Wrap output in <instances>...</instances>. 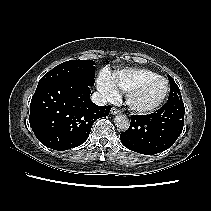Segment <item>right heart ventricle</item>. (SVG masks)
Wrapping results in <instances>:
<instances>
[{
  "instance_id": "obj_1",
  "label": "right heart ventricle",
  "mask_w": 211,
  "mask_h": 211,
  "mask_svg": "<svg viewBox=\"0 0 211 211\" xmlns=\"http://www.w3.org/2000/svg\"><path fill=\"white\" fill-rule=\"evenodd\" d=\"M158 75L149 69L125 68L113 72L110 76L116 87L123 93L129 92L142 81Z\"/></svg>"
}]
</instances>
